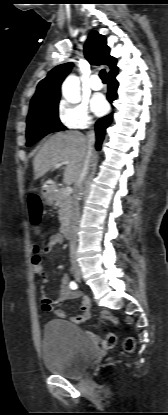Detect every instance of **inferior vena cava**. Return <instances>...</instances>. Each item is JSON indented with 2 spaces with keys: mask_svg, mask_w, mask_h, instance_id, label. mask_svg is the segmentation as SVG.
<instances>
[{
  "mask_svg": "<svg viewBox=\"0 0 168 415\" xmlns=\"http://www.w3.org/2000/svg\"><path fill=\"white\" fill-rule=\"evenodd\" d=\"M87 157L84 162L83 169L78 177L76 182V189L74 191L73 200H72V207H71V217H70V227H69V244H70V261L72 268H78L77 263V232H78V224L80 219V206L79 200L82 191V187L86 176L88 174L89 166H90V157L94 151V144H95V132L94 130H90L87 133Z\"/></svg>",
  "mask_w": 168,
  "mask_h": 415,
  "instance_id": "602c4592",
  "label": "inferior vena cava"
}]
</instances>
